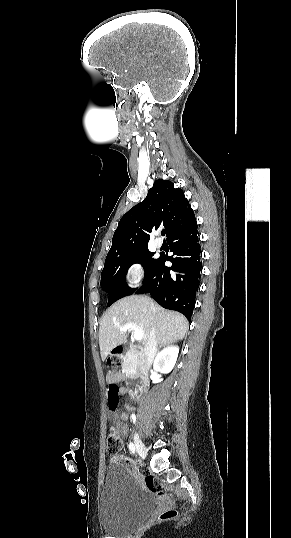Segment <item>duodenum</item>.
<instances>
[{"instance_id":"1","label":"duodenum","mask_w":291,"mask_h":538,"mask_svg":"<svg viewBox=\"0 0 291 538\" xmlns=\"http://www.w3.org/2000/svg\"><path fill=\"white\" fill-rule=\"evenodd\" d=\"M116 354L119 356L130 354L133 358L138 359L140 361L139 367L135 369V372L137 374H140L141 372L144 373L146 371L144 361H149V356H143L142 350L140 348L121 346L116 349ZM126 382H128L127 386L129 387L128 394L132 398L140 396L141 393H145L147 391V385L140 387V381L136 380L133 374H128V377H126Z\"/></svg>"}]
</instances>
